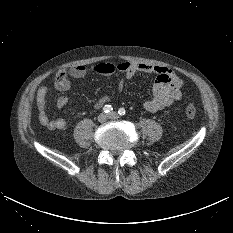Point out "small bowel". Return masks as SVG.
Returning a JSON list of instances; mask_svg holds the SVG:
<instances>
[{"label": "small bowel", "instance_id": "1", "mask_svg": "<svg viewBox=\"0 0 233 233\" xmlns=\"http://www.w3.org/2000/svg\"><path fill=\"white\" fill-rule=\"evenodd\" d=\"M115 72L120 75L116 83L117 92L122 91L125 79L135 78L139 74L156 75L152 88V97L144 103V108L149 112H156L182 99L183 81L172 69L165 66L130 61H123L118 64L99 63L90 67L76 65L68 70L58 72L53 78V84L58 91H66L71 87L73 79H83L90 73L111 75ZM47 95L48 88L41 86L37 91L36 97L39 122L50 130L64 129L66 121L63 118L50 119L47 115ZM109 101L110 96H102L96 101L95 107L101 108ZM67 103L68 98L60 96L56 100V107L63 109Z\"/></svg>", "mask_w": 233, "mask_h": 233}]
</instances>
